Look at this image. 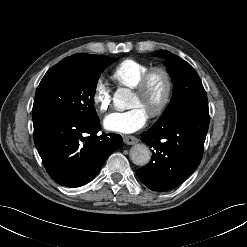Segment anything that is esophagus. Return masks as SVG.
<instances>
[{"mask_svg": "<svg viewBox=\"0 0 247 247\" xmlns=\"http://www.w3.org/2000/svg\"><path fill=\"white\" fill-rule=\"evenodd\" d=\"M123 141L127 145H133V144L138 142V139L136 137H134V136L124 135L123 136Z\"/></svg>", "mask_w": 247, "mask_h": 247, "instance_id": "34e87169", "label": "esophagus"}]
</instances>
